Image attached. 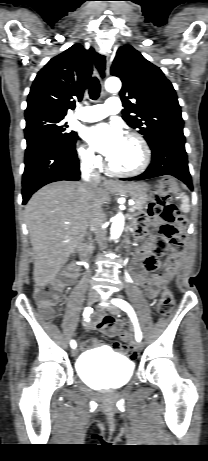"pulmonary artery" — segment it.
<instances>
[{
    "instance_id": "pulmonary-artery-1",
    "label": "pulmonary artery",
    "mask_w": 208,
    "mask_h": 461,
    "mask_svg": "<svg viewBox=\"0 0 208 461\" xmlns=\"http://www.w3.org/2000/svg\"><path fill=\"white\" fill-rule=\"evenodd\" d=\"M121 109V102L117 97H109L104 104L87 106L82 108L76 117L86 121L94 122L105 118L110 114H116Z\"/></svg>"
}]
</instances>
